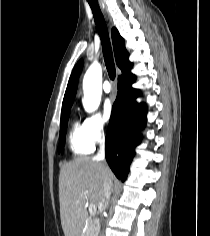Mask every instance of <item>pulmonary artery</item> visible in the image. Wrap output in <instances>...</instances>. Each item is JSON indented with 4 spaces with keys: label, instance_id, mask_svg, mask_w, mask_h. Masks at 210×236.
I'll list each match as a JSON object with an SVG mask.
<instances>
[{
    "label": "pulmonary artery",
    "instance_id": "pulmonary-artery-1",
    "mask_svg": "<svg viewBox=\"0 0 210 236\" xmlns=\"http://www.w3.org/2000/svg\"><path fill=\"white\" fill-rule=\"evenodd\" d=\"M103 90L106 93H110L112 91V87L108 81L104 82L103 84Z\"/></svg>",
    "mask_w": 210,
    "mask_h": 236
}]
</instances>
